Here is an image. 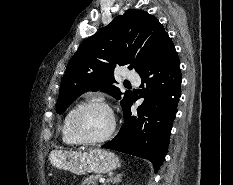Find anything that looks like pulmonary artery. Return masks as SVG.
<instances>
[{
    "label": "pulmonary artery",
    "mask_w": 233,
    "mask_h": 185,
    "mask_svg": "<svg viewBox=\"0 0 233 185\" xmlns=\"http://www.w3.org/2000/svg\"><path fill=\"white\" fill-rule=\"evenodd\" d=\"M127 79L135 85H139L141 82L140 77L137 74L132 73V72L127 73Z\"/></svg>",
    "instance_id": "e3ab8cb5"
}]
</instances>
